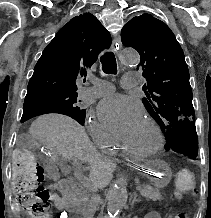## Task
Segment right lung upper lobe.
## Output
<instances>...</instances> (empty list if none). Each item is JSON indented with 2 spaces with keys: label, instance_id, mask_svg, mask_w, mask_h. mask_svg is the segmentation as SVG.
<instances>
[{
  "label": "right lung upper lobe",
  "instance_id": "1",
  "mask_svg": "<svg viewBox=\"0 0 211 218\" xmlns=\"http://www.w3.org/2000/svg\"><path fill=\"white\" fill-rule=\"evenodd\" d=\"M111 36L90 13L72 18L62 27L38 60L27 87L25 102L76 93V79L109 48Z\"/></svg>",
  "mask_w": 211,
  "mask_h": 218
}]
</instances>
